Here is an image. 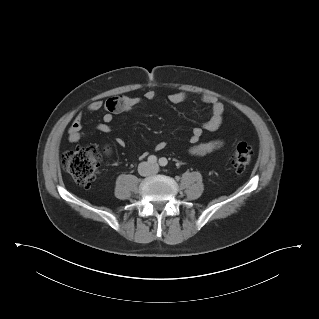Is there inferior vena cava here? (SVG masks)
<instances>
[{"label":"inferior vena cava","mask_w":319,"mask_h":319,"mask_svg":"<svg viewBox=\"0 0 319 319\" xmlns=\"http://www.w3.org/2000/svg\"><path fill=\"white\" fill-rule=\"evenodd\" d=\"M144 166H146L147 167V171H142V168L144 167ZM150 168V165L149 164H147V163H141L140 165H139V173L141 174V175H144V176H146V175H149V174H151V170L149 169Z\"/></svg>","instance_id":"obj_1"}]
</instances>
